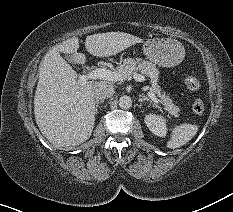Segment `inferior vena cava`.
I'll return each mask as SVG.
<instances>
[{
    "label": "inferior vena cava",
    "mask_w": 233,
    "mask_h": 212,
    "mask_svg": "<svg viewBox=\"0 0 233 212\" xmlns=\"http://www.w3.org/2000/svg\"><path fill=\"white\" fill-rule=\"evenodd\" d=\"M94 97L98 100L110 98L115 93L113 86L109 84L96 83L92 87Z\"/></svg>",
    "instance_id": "inferior-vena-cava-1"
}]
</instances>
